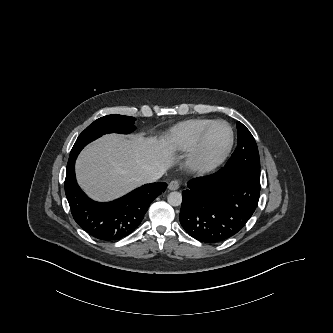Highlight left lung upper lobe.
<instances>
[{
  "mask_svg": "<svg viewBox=\"0 0 333 333\" xmlns=\"http://www.w3.org/2000/svg\"><path fill=\"white\" fill-rule=\"evenodd\" d=\"M237 130L238 146L226 165L239 168L260 180V159L255 139L240 122L237 123Z\"/></svg>",
  "mask_w": 333,
  "mask_h": 333,
  "instance_id": "1",
  "label": "left lung upper lobe"
}]
</instances>
